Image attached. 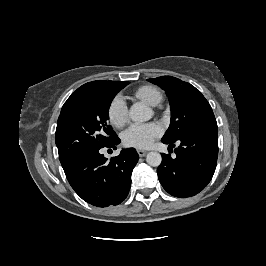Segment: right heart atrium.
<instances>
[{"mask_svg": "<svg viewBox=\"0 0 266 266\" xmlns=\"http://www.w3.org/2000/svg\"><path fill=\"white\" fill-rule=\"evenodd\" d=\"M110 122L116 127L124 126L128 121V108L122 97H115L108 109Z\"/></svg>", "mask_w": 266, "mask_h": 266, "instance_id": "right-heart-atrium-1", "label": "right heart atrium"}]
</instances>
